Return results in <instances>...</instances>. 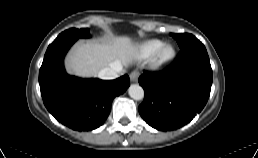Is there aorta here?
<instances>
[{
	"instance_id": "aorta-1",
	"label": "aorta",
	"mask_w": 258,
	"mask_h": 158,
	"mask_svg": "<svg viewBox=\"0 0 258 158\" xmlns=\"http://www.w3.org/2000/svg\"><path fill=\"white\" fill-rule=\"evenodd\" d=\"M129 96L134 100H141L144 98V90L138 84H132L128 89Z\"/></svg>"
}]
</instances>
